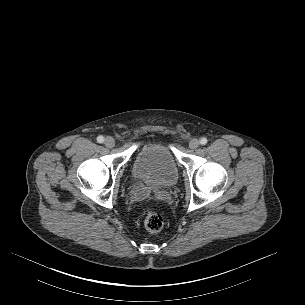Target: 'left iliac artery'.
<instances>
[{"label": "left iliac artery", "mask_w": 305, "mask_h": 305, "mask_svg": "<svg viewBox=\"0 0 305 305\" xmlns=\"http://www.w3.org/2000/svg\"><path fill=\"white\" fill-rule=\"evenodd\" d=\"M200 144H201V145L207 144V139H206L205 137L201 138V139H200Z\"/></svg>", "instance_id": "44dca946"}]
</instances>
